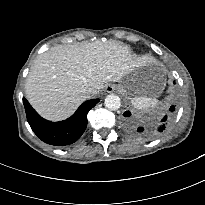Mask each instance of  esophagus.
I'll use <instances>...</instances> for the list:
<instances>
[{
  "instance_id": "1",
  "label": "esophagus",
  "mask_w": 205,
  "mask_h": 205,
  "mask_svg": "<svg viewBox=\"0 0 205 205\" xmlns=\"http://www.w3.org/2000/svg\"><path fill=\"white\" fill-rule=\"evenodd\" d=\"M115 90V86L113 85V84H107L106 86H105V91L107 92V93H111V92H113Z\"/></svg>"
}]
</instances>
